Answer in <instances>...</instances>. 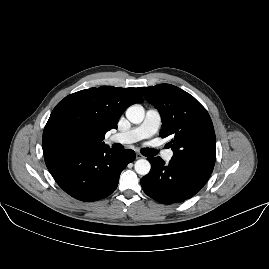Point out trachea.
Returning <instances> with one entry per match:
<instances>
[{
    "label": "trachea",
    "instance_id": "obj_1",
    "mask_svg": "<svg viewBox=\"0 0 269 269\" xmlns=\"http://www.w3.org/2000/svg\"><path fill=\"white\" fill-rule=\"evenodd\" d=\"M140 152L147 157H151L157 154V151L152 148H142Z\"/></svg>",
    "mask_w": 269,
    "mask_h": 269
}]
</instances>
